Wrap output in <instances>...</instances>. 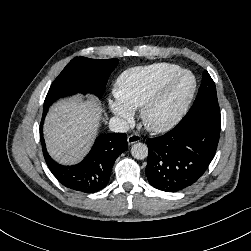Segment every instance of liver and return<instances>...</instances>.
Segmentation results:
<instances>
[{
	"instance_id": "1",
	"label": "liver",
	"mask_w": 251,
	"mask_h": 251,
	"mask_svg": "<svg viewBox=\"0 0 251 251\" xmlns=\"http://www.w3.org/2000/svg\"><path fill=\"white\" fill-rule=\"evenodd\" d=\"M102 107L94 98L63 99L46 117L44 137L49 154L61 164H75L89 151L97 134Z\"/></svg>"
}]
</instances>
